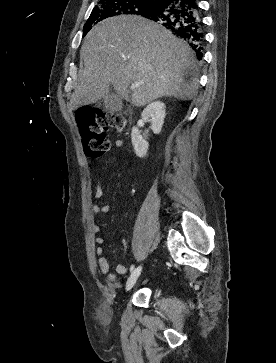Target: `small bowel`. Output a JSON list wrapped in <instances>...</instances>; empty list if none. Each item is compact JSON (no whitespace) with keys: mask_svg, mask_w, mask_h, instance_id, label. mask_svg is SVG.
<instances>
[{"mask_svg":"<svg viewBox=\"0 0 276 363\" xmlns=\"http://www.w3.org/2000/svg\"><path fill=\"white\" fill-rule=\"evenodd\" d=\"M114 146L117 148H121L123 146L122 140H116L114 142ZM126 158L128 162H131L132 155L129 151L126 152ZM94 197L97 201H100L103 197V187L100 182H97L96 189L94 193ZM110 209L108 203L98 204L95 203L91 206V214L93 217H97L103 213H107ZM92 232L94 234V241L97 244L95 253L97 255V263L102 272V274L106 277L109 284H114L117 281L118 275H125L128 273L129 269L127 266L118 264L115 268V272H112L110 269V265L106 257L104 256V248L102 244L104 243V238L101 235V228L97 224L92 225ZM126 240L122 241V245H126Z\"/></svg>","mask_w":276,"mask_h":363,"instance_id":"small-bowel-1","label":"small bowel"}]
</instances>
